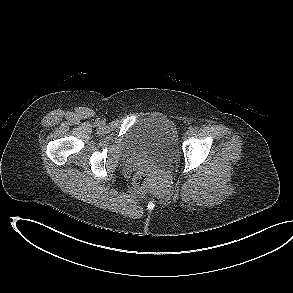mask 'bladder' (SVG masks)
<instances>
[{"mask_svg":"<svg viewBox=\"0 0 293 293\" xmlns=\"http://www.w3.org/2000/svg\"><path fill=\"white\" fill-rule=\"evenodd\" d=\"M127 147L158 166L174 163L179 155L178 132L165 116H145L135 121L125 136Z\"/></svg>","mask_w":293,"mask_h":293,"instance_id":"obj_1","label":"bladder"}]
</instances>
